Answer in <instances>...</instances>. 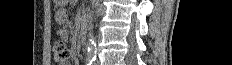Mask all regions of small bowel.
Instances as JSON below:
<instances>
[{"instance_id":"small-bowel-1","label":"small bowel","mask_w":232,"mask_h":65,"mask_svg":"<svg viewBox=\"0 0 232 65\" xmlns=\"http://www.w3.org/2000/svg\"><path fill=\"white\" fill-rule=\"evenodd\" d=\"M66 17H74V12H56L55 21H66ZM56 28H61L58 30V32H55V37H65L63 39V42H66V40H77V35H71L70 29H64L68 27L67 23H56ZM61 65H70L67 62L61 63Z\"/></svg>"}]
</instances>
